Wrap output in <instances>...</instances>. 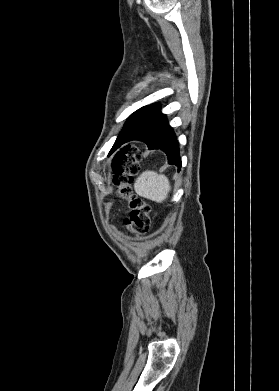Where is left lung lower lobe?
I'll return each instance as SVG.
<instances>
[{
    "label": "left lung lower lobe",
    "instance_id": "1",
    "mask_svg": "<svg viewBox=\"0 0 279 391\" xmlns=\"http://www.w3.org/2000/svg\"><path fill=\"white\" fill-rule=\"evenodd\" d=\"M131 140L143 141L149 149L159 148L163 150L167 154L168 162L175 164L180 170L181 158L178 141L165 116L140 134L125 136L120 145Z\"/></svg>",
    "mask_w": 279,
    "mask_h": 391
}]
</instances>
